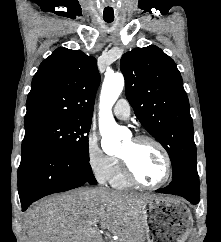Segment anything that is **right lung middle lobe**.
<instances>
[{
    "label": "right lung middle lobe",
    "instance_id": "obj_1",
    "mask_svg": "<svg viewBox=\"0 0 221 242\" xmlns=\"http://www.w3.org/2000/svg\"><path fill=\"white\" fill-rule=\"evenodd\" d=\"M92 118L53 119L25 126L22 148L44 146L89 161L88 134Z\"/></svg>",
    "mask_w": 221,
    "mask_h": 242
}]
</instances>
